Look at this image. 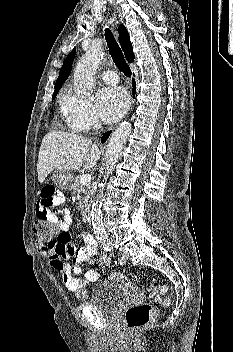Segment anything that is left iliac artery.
<instances>
[{
    "label": "left iliac artery",
    "instance_id": "left-iliac-artery-1",
    "mask_svg": "<svg viewBox=\"0 0 233 352\" xmlns=\"http://www.w3.org/2000/svg\"><path fill=\"white\" fill-rule=\"evenodd\" d=\"M107 251H113V247H107V249H106ZM118 261H119V263L120 264H124L126 261L124 260V258L123 257H120L119 259H118Z\"/></svg>",
    "mask_w": 233,
    "mask_h": 352
}]
</instances>
